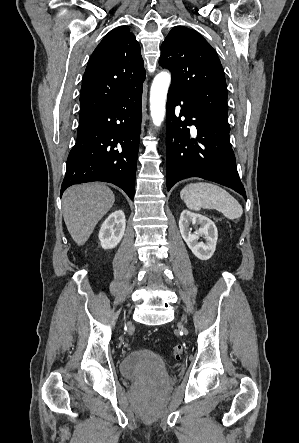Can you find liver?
<instances>
[{"mask_svg":"<svg viewBox=\"0 0 299 443\" xmlns=\"http://www.w3.org/2000/svg\"><path fill=\"white\" fill-rule=\"evenodd\" d=\"M115 196L101 183H88L68 188L62 197L63 217L72 239L82 246L97 223L111 209Z\"/></svg>","mask_w":299,"mask_h":443,"instance_id":"obj_1","label":"liver"}]
</instances>
